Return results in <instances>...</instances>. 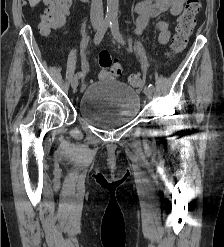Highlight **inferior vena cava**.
<instances>
[{
  "instance_id": "602c4592",
  "label": "inferior vena cava",
  "mask_w": 224,
  "mask_h": 247,
  "mask_svg": "<svg viewBox=\"0 0 224 247\" xmlns=\"http://www.w3.org/2000/svg\"><path fill=\"white\" fill-rule=\"evenodd\" d=\"M90 20L92 24H94V22H97V24H102L104 20L102 0H92Z\"/></svg>"
}]
</instances>
